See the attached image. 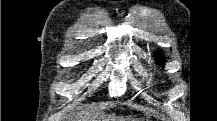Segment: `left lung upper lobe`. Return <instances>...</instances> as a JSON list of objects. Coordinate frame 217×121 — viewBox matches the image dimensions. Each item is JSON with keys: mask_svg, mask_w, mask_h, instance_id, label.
Returning <instances> with one entry per match:
<instances>
[{"mask_svg": "<svg viewBox=\"0 0 217 121\" xmlns=\"http://www.w3.org/2000/svg\"><path fill=\"white\" fill-rule=\"evenodd\" d=\"M157 57H158V61H159L158 64H163V62H164V61H163L164 57L161 55V53H158V54H157Z\"/></svg>", "mask_w": 217, "mask_h": 121, "instance_id": "5c2ea615", "label": "left lung upper lobe"}]
</instances>
